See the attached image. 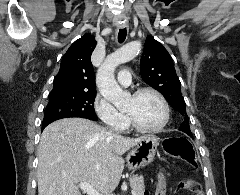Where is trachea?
Segmentation results:
<instances>
[{"mask_svg":"<svg viewBox=\"0 0 240 195\" xmlns=\"http://www.w3.org/2000/svg\"><path fill=\"white\" fill-rule=\"evenodd\" d=\"M126 35H127L126 28H121V30H119V32H118V41H119V43L124 42V40L126 39Z\"/></svg>","mask_w":240,"mask_h":195,"instance_id":"3493384b","label":"trachea"}]
</instances>
